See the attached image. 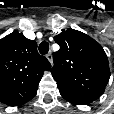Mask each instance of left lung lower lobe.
Segmentation results:
<instances>
[{
    "mask_svg": "<svg viewBox=\"0 0 114 114\" xmlns=\"http://www.w3.org/2000/svg\"><path fill=\"white\" fill-rule=\"evenodd\" d=\"M60 93L63 98H65L67 101H69L73 104L88 105L93 101L92 99L87 98V97L67 94V93H63V92H60Z\"/></svg>",
    "mask_w": 114,
    "mask_h": 114,
    "instance_id": "obj_1",
    "label": "left lung lower lobe"
}]
</instances>
